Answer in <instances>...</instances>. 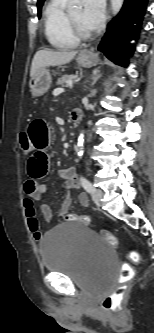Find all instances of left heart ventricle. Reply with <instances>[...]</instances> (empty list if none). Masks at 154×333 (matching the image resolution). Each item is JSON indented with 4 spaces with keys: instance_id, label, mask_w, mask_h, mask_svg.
<instances>
[{
    "instance_id": "left-heart-ventricle-1",
    "label": "left heart ventricle",
    "mask_w": 154,
    "mask_h": 333,
    "mask_svg": "<svg viewBox=\"0 0 154 333\" xmlns=\"http://www.w3.org/2000/svg\"><path fill=\"white\" fill-rule=\"evenodd\" d=\"M81 12H82V9L80 6H78V7L71 9L69 11V14L72 17V19L81 26L82 29H84L85 31H91L90 29L85 27L84 24L82 23Z\"/></svg>"
}]
</instances>
